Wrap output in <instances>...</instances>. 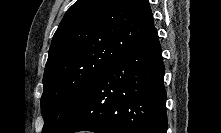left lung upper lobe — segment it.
I'll return each instance as SVG.
<instances>
[{
    "label": "left lung upper lobe",
    "instance_id": "left-lung-upper-lobe-1",
    "mask_svg": "<svg viewBox=\"0 0 221 133\" xmlns=\"http://www.w3.org/2000/svg\"><path fill=\"white\" fill-rule=\"evenodd\" d=\"M148 0H78L64 15L43 77L42 133H57L100 74L153 28Z\"/></svg>",
    "mask_w": 221,
    "mask_h": 133
}]
</instances>
